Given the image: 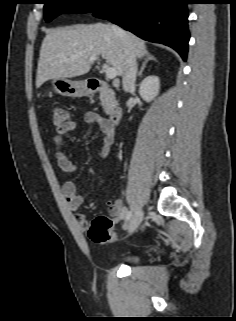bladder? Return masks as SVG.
I'll use <instances>...</instances> for the list:
<instances>
[{
    "mask_svg": "<svg viewBox=\"0 0 236 321\" xmlns=\"http://www.w3.org/2000/svg\"><path fill=\"white\" fill-rule=\"evenodd\" d=\"M140 256L137 253L127 254L122 257V260L128 263H136L139 260Z\"/></svg>",
    "mask_w": 236,
    "mask_h": 321,
    "instance_id": "1",
    "label": "bladder"
}]
</instances>
